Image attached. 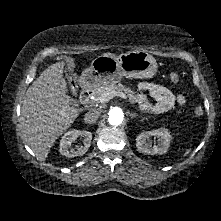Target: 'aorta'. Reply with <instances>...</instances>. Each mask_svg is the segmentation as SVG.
<instances>
[{"label":"aorta","mask_w":221,"mask_h":221,"mask_svg":"<svg viewBox=\"0 0 221 221\" xmlns=\"http://www.w3.org/2000/svg\"><path fill=\"white\" fill-rule=\"evenodd\" d=\"M123 119L124 113L118 107L112 108L108 113V121L110 125L118 126L123 122Z\"/></svg>","instance_id":"obj_1"}]
</instances>
